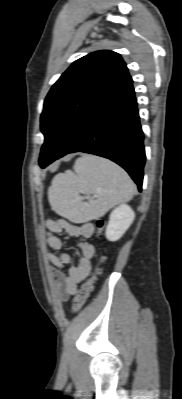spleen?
I'll list each match as a JSON object with an SVG mask.
<instances>
[{"mask_svg": "<svg viewBox=\"0 0 182 399\" xmlns=\"http://www.w3.org/2000/svg\"><path fill=\"white\" fill-rule=\"evenodd\" d=\"M134 193L133 181L117 164L102 157L83 155L75 161L73 171L67 170L53 178L48 200L57 214L81 223L103 216L115 205L129 201ZM80 194L87 197V203Z\"/></svg>", "mask_w": 182, "mask_h": 399, "instance_id": "3e777b00", "label": "spleen"}]
</instances>
